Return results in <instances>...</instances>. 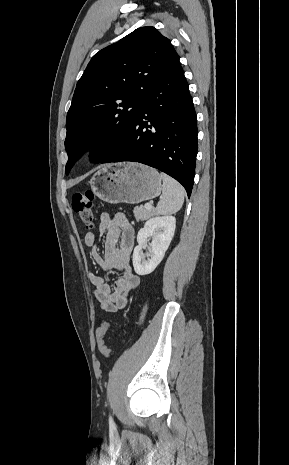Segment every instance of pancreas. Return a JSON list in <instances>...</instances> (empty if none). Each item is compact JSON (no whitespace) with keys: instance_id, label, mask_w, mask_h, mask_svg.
I'll use <instances>...</instances> for the list:
<instances>
[{"instance_id":"cf45deb5","label":"pancreas","mask_w":289,"mask_h":465,"mask_svg":"<svg viewBox=\"0 0 289 465\" xmlns=\"http://www.w3.org/2000/svg\"><path fill=\"white\" fill-rule=\"evenodd\" d=\"M134 216L137 221H144L148 218H150L153 215V210L151 209H145L144 207H135L134 210Z\"/></svg>"}]
</instances>
